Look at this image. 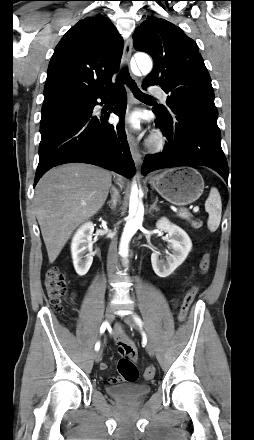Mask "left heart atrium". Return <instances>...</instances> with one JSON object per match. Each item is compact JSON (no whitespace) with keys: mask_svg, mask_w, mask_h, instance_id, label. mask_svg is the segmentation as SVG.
I'll return each instance as SVG.
<instances>
[{"mask_svg":"<svg viewBox=\"0 0 254 440\" xmlns=\"http://www.w3.org/2000/svg\"><path fill=\"white\" fill-rule=\"evenodd\" d=\"M128 121L133 128L137 129L139 127V122L136 115L130 116Z\"/></svg>","mask_w":254,"mask_h":440,"instance_id":"1","label":"left heart atrium"}]
</instances>
